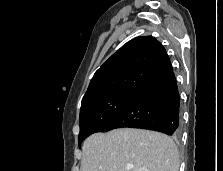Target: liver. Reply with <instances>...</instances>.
<instances>
[{
    "label": "liver",
    "mask_w": 223,
    "mask_h": 171,
    "mask_svg": "<svg viewBox=\"0 0 223 171\" xmlns=\"http://www.w3.org/2000/svg\"><path fill=\"white\" fill-rule=\"evenodd\" d=\"M81 171H178L179 152L165 134L119 128L89 136L82 146Z\"/></svg>",
    "instance_id": "6515ba94"
}]
</instances>
